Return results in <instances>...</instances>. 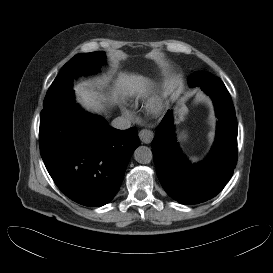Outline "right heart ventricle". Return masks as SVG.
Returning <instances> with one entry per match:
<instances>
[{"label": "right heart ventricle", "mask_w": 273, "mask_h": 273, "mask_svg": "<svg viewBox=\"0 0 273 273\" xmlns=\"http://www.w3.org/2000/svg\"><path fill=\"white\" fill-rule=\"evenodd\" d=\"M148 76V74H144L140 79H145Z\"/></svg>", "instance_id": "1"}]
</instances>
